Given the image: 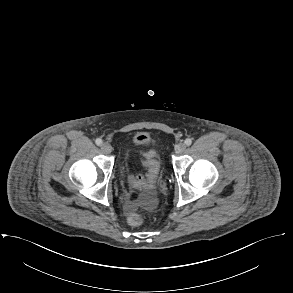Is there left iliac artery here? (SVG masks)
Instances as JSON below:
<instances>
[{
  "label": "left iliac artery",
  "mask_w": 293,
  "mask_h": 293,
  "mask_svg": "<svg viewBox=\"0 0 293 293\" xmlns=\"http://www.w3.org/2000/svg\"><path fill=\"white\" fill-rule=\"evenodd\" d=\"M191 144H192V139L187 138V139L185 140V145L190 146Z\"/></svg>",
  "instance_id": "obj_1"
}]
</instances>
